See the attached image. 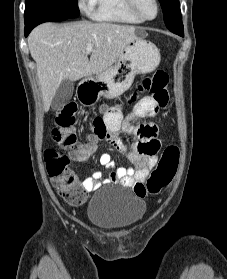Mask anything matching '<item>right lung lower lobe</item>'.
<instances>
[{"label":"right lung lower lobe","instance_id":"98d812e1","mask_svg":"<svg viewBox=\"0 0 227 279\" xmlns=\"http://www.w3.org/2000/svg\"><path fill=\"white\" fill-rule=\"evenodd\" d=\"M66 19H68V18L49 14L44 11L38 12L30 19L25 20L24 34H25V36H28L34 27H36L37 25H39L43 22H58V21L66 20Z\"/></svg>","mask_w":227,"mask_h":279}]
</instances>
